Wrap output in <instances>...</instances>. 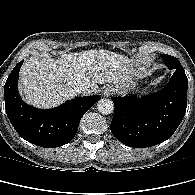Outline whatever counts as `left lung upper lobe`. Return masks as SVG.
Here are the masks:
<instances>
[{"label":"left lung upper lobe","mask_w":195,"mask_h":195,"mask_svg":"<svg viewBox=\"0 0 195 195\" xmlns=\"http://www.w3.org/2000/svg\"><path fill=\"white\" fill-rule=\"evenodd\" d=\"M161 57L164 63L169 67V69L182 68L181 63L177 58L167 54H161Z\"/></svg>","instance_id":"obj_1"}]
</instances>
